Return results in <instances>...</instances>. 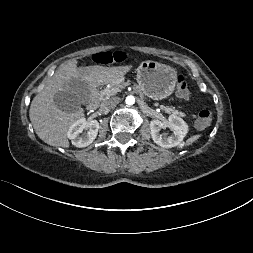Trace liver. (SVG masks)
<instances>
[{"instance_id":"liver-1","label":"liver","mask_w":253,"mask_h":253,"mask_svg":"<svg viewBox=\"0 0 253 253\" xmlns=\"http://www.w3.org/2000/svg\"><path fill=\"white\" fill-rule=\"evenodd\" d=\"M127 69L98 65L78 68L75 60L62 66L31 102L29 117L38 137L48 145L68 148L69 127L84 116V109L79 105L74 112H64L55 106L54 95L66 90V84L75 79L91 88L116 83Z\"/></svg>"}]
</instances>
